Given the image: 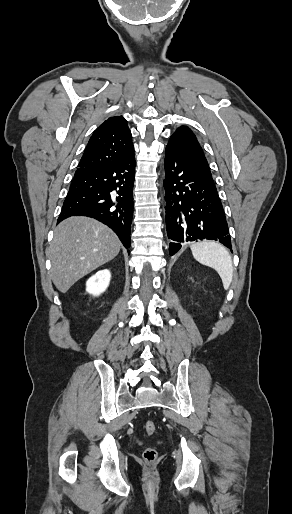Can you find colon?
Listing matches in <instances>:
<instances>
[{
    "label": "colon",
    "mask_w": 292,
    "mask_h": 514,
    "mask_svg": "<svg viewBox=\"0 0 292 514\" xmlns=\"http://www.w3.org/2000/svg\"><path fill=\"white\" fill-rule=\"evenodd\" d=\"M144 429H145L146 434L148 436H151L156 431V425L152 420L148 419L144 423ZM157 458H158V453L155 448L146 447L143 450V459L145 462L152 463V462L156 461Z\"/></svg>",
    "instance_id": "5ec220e1"
}]
</instances>
